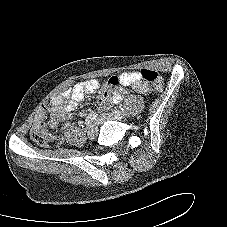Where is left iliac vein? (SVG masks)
I'll use <instances>...</instances> for the list:
<instances>
[{"instance_id":"4c4485c4","label":"left iliac vein","mask_w":227,"mask_h":227,"mask_svg":"<svg viewBox=\"0 0 227 227\" xmlns=\"http://www.w3.org/2000/svg\"><path fill=\"white\" fill-rule=\"evenodd\" d=\"M124 118H125V115H123V114L116 115V114H114V113H105V114H102V115L98 118L97 122H98V124H101V123H103L105 120H122V119H124Z\"/></svg>"}]
</instances>
